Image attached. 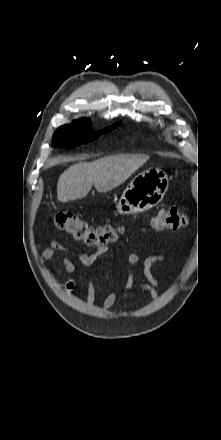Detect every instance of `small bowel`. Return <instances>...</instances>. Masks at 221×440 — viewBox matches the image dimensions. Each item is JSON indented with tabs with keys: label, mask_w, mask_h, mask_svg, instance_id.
Listing matches in <instances>:
<instances>
[{
	"label": "small bowel",
	"mask_w": 221,
	"mask_h": 440,
	"mask_svg": "<svg viewBox=\"0 0 221 440\" xmlns=\"http://www.w3.org/2000/svg\"><path fill=\"white\" fill-rule=\"evenodd\" d=\"M65 250L63 246L55 241L50 243V246L42 251L41 262L44 263L52 258H59L62 262L64 270L68 274H73L76 271L75 263L67 256L63 255L62 252ZM108 248H100L93 253H81L78 255V262L80 266L86 270L91 271L94 267L98 258L104 254ZM164 256L160 254L149 255L143 260V274L146 278V282H137L135 280L136 275V265L140 261V256L137 253H132L128 256V267L126 270V289H134L143 294L150 296L152 299L157 298V289L159 287V282L155 277L152 269L153 266L164 261ZM76 287V281L70 278L66 281L64 285L65 292H71ZM87 304H91L95 299V285L91 277L88 278L87 282ZM117 300V293L111 291L105 298L102 304V309L107 310L111 308Z\"/></svg>",
	"instance_id": "obj_1"
}]
</instances>
